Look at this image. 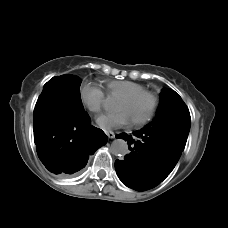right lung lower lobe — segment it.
I'll use <instances>...</instances> for the list:
<instances>
[{
  "label": "right lung lower lobe",
  "instance_id": "98d812e1",
  "mask_svg": "<svg viewBox=\"0 0 228 228\" xmlns=\"http://www.w3.org/2000/svg\"><path fill=\"white\" fill-rule=\"evenodd\" d=\"M90 122L83 105H62L55 97L37 104L34 139L38 156L49 171L76 172L85 167L89 154L107 142L106 134Z\"/></svg>",
  "mask_w": 228,
  "mask_h": 228
}]
</instances>
